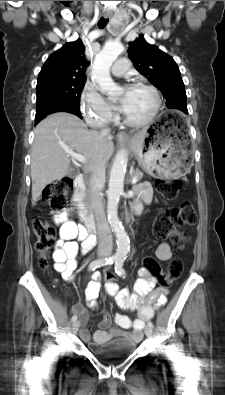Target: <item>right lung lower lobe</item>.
I'll use <instances>...</instances> for the list:
<instances>
[{"mask_svg":"<svg viewBox=\"0 0 225 395\" xmlns=\"http://www.w3.org/2000/svg\"><path fill=\"white\" fill-rule=\"evenodd\" d=\"M60 111L71 112L72 114H75V115L79 116L80 118H82L80 110H79V107H76V106H64V107L58 108L56 110H53V111H51L48 114H51V113H54V112H60ZM48 114H46V115H44L42 117H39V118H35V124H38L39 121L42 120Z\"/></svg>","mask_w":225,"mask_h":395,"instance_id":"obj_1","label":"right lung lower lobe"}]
</instances>
